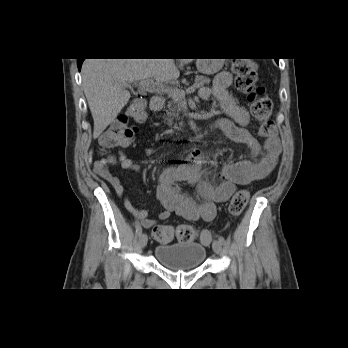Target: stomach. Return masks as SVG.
Returning <instances> with one entry per match:
<instances>
[{"label": "stomach", "instance_id": "1", "mask_svg": "<svg viewBox=\"0 0 348 348\" xmlns=\"http://www.w3.org/2000/svg\"><path fill=\"white\" fill-rule=\"evenodd\" d=\"M224 64V59H197L196 66L200 73L211 75L217 73Z\"/></svg>", "mask_w": 348, "mask_h": 348}]
</instances>
